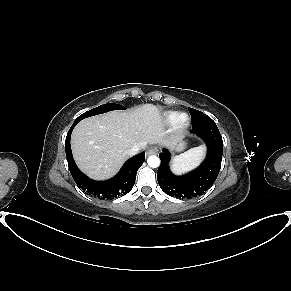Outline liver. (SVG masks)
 Wrapping results in <instances>:
<instances>
[{"mask_svg": "<svg viewBox=\"0 0 291 291\" xmlns=\"http://www.w3.org/2000/svg\"><path fill=\"white\" fill-rule=\"evenodd\" d=\"M164 127L161 110L153 104L84 119L72 133L74 159L91 178H109L128 159V151L135 145L141 149L148 144L173 148L178 139L167 138Z\"/></svg>", "mask_w": 291, "mask_h": 291, "instance_id": "1", "label": "liver"}]
</instances>
